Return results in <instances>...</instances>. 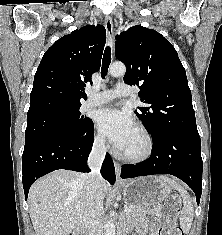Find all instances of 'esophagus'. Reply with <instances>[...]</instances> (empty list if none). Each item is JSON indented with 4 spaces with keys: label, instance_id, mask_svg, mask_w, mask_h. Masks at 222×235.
Segmentation results:
<instances>
[{
    "label": "esophagus",
    "instance_id": "obj_1",
    "mask_svg": "<svg viewBox=\"0 0 222 235\" xmlns=\"http://www.w3.org/2000/svg\"><path fill=\"white\" fill-rule=\"evenodd\" d=\"M105 28L107 33V42L108 45L112 48L114 41V30H113V21L111 16L105 17ZM115 172H116V180L121 181V166L118 162L114 161Z\"/></svg>",
    "mask_w": 222,
    "mask_h": 235
}]
</instances>
